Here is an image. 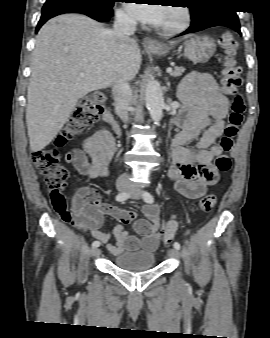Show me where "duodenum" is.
<instances>
[{
	"mask_svg": "<svg viewBox=\"0 0 270 338\" xmlns=\"http://www.w3.org/2000/svg\"><path fill=\"white\" fill-rule=\"evenodd\" d=\"M103 120L110 125L111 127H113L115 130L118 129V123L117 120L114 116V114L112 113V111L110 109H105L103 114H102Z\"/></svg>",
	"mask_w": 270,
	"mask_h": 338,
	"instance_id": "obj_1",
	"label": "duodenum"
}]
</instances>
